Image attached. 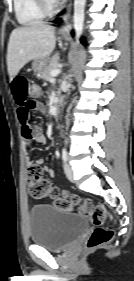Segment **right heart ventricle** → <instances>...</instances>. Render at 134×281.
<instances>
[{
    "mask_svg": "<svg viewBox=\"0 0 134 281\" xmlns=\"http://www.w3.org/2000/svg\"><path fill=\"white\" fill-rule=\"evenodd\" d=\"M13 7L16 19L21 25H35L45 18L36 0H13Z\"/></svg>",
    "mask_w": 134,
    "mask_h": 281,
    "instance_id": "1",
    "label": "right heart ventricle"
}]
</instances>
